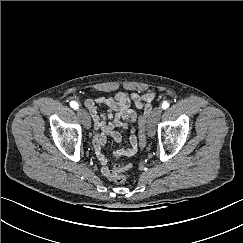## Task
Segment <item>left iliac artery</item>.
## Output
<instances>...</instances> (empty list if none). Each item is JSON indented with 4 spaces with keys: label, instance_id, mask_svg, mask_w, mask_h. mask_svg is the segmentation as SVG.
Returning <instances> with one entry per match:
<instances>
[{
    "label": "left iliac artery",
    "instance_id": "left-iliac-artery-1",
    "mask_svg": "<svg viewBox=\"0 0 243 243\" xmlns=\"http://www.w3.org/2000/svg\"><path fill=\"white\" fill-rule=\"evenodd\" d=\"M162 109H167L168 107H169V103L168 102H166V101H164L163 103H162Z\"/></svg>",
    "mask_w": 243,
    "mask_h": 243
}]
</instances>
